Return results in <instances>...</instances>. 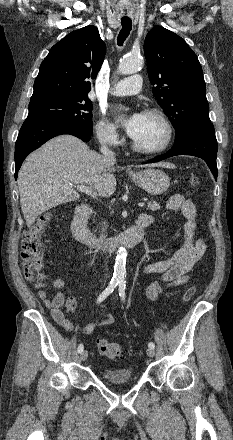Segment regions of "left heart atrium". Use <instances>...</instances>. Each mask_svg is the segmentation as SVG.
Segmentation results:
<instances>
[{"mask_svg": "<svg viewBox=\"0 0 233 440\" xmlns=\"http://www.w3.org/2000/svg\"><path fill=\"white\" fill-rule=\"evenodd\" d=\"M143 119V114L135 112L129 115L122 113L120 110L117 112V121L125 129L126 133L134 138L137 134Z\"/></svg>", "mask_w": 233, "mask_h": 440, "instance_id": "obj_1", "label": "left heart atrium"}]
</instances>
